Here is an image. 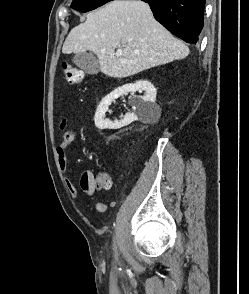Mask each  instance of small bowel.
Here are the masks:
<instances>
[{
  "mask_svg": "<svg viewBox=\"0 0 249 294\" xmlns=\"http://www.w3.org/2000/svg\"><path fill=\"white\" fill-rule=\"evenodd\" d=\"M61 129H66V122L63 121L60 124ZM77 136V132L75 129H67L65 130L62 140L56 149V154L58 158V164L62 171H65L67 168V148L68 146L74 141ZM66 187L68 188L70 195L75 198L77 195L76 189L73 186L72 182L66 178L65 179ZM80 187L82 191L88 196L89 200L91 201L95 210L99 213H104L109 211L113 206L114 203L106 204L99 201L95 194H96V185L94 183V177L91 173L86 172L82 175L80 179Z\"/></svg>",
  "mask_w": 249,
  "mask_h": 294,
  "instance_id": "small-bowel-1",
  "label": "small bowel"
}]
</instances>
